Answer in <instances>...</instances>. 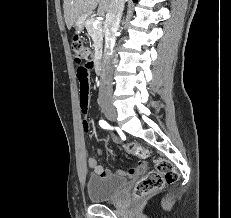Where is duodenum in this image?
<instances>
[{"label": "duodenum", "mask_w": 231, "mask_h": 218, "mask_svg": "<svg viewBox=\"0 0 231 218\" xmlns=\"http://www.w3.org/2000/svg\"><path fill=\"white\" fill-rule=\"evenodd\" d=\"M93 67H94L97 74L102 73V62H101V57L99 54H97L95 59H94Z\"/></svg>", "instance_id": "1"}]
</instances>
